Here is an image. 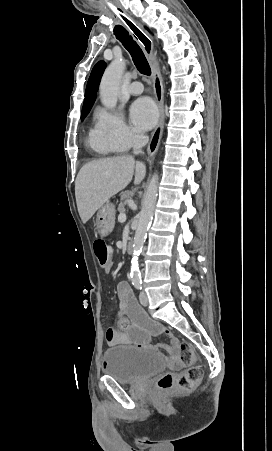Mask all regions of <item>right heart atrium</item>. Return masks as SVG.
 I'll return each mask as SVG.
<instances>
[{
    "instance_id": "right-heart-atrium-1",
    "label": "right heart atrium",
    "mask_w": 272,
    "mask_h": 451,
    "mask_svg": "<svg viewBox=\"0 0 272 451\" xmlns=\"http://www.w3.org/2000/svg\"><path fill=\"white\" fill-rule=\"evenodd\" d=\"M97 129L103 137L121 149L130 144L134 135L123 116L114 111L102 110L98 113Z\"/></svg>"
}]
</instances>
